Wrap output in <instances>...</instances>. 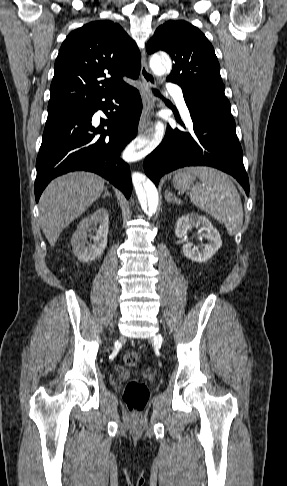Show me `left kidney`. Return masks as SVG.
Wrapping results in <instances>:
<instances>
[{"instance_id":"obj_1","label":"left kidney","mask_w":287,"mask_h":486,"mask_svg":"<svg viewBox=\"0 0 287 486\" xmlns=\"http://www.w3.org/2000/svg\"><path fill=\"white\" fill-rule=\"evenodd\" d=\"M192 226L200 227L203 232L202 237L208 240V244L199 249L194 247L192 243L186 242L182 247L183 253L192 261L205 262L213 257L222 246L220 234L205 216L189 213L178 219L175 235L181 239L186 238L187 232Z\"/></svg>"}]
</instances>
